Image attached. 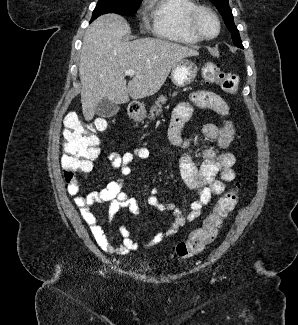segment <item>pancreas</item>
<instances>
[{
  "label": "pancreas",
  "mask_w": 298,
  "mask_h": 325,
  "mask_svg": "<svg viewBox=\"0 0 298 325\" xmlns=\"http://www.w3.org/2000/svg\"><path fill=\"white\" fill-rule=\"evenodd\" d=\"M178 92H171L170 96H177ZM167 100V96H163V94H159L158 98H156L154 102V106H150L148 118H151V120H154L155 116L157 114H161L162 112V106L165 104Z\"/></svg>",
  "instance_id": "pancreas-1"
}]
</instances>
